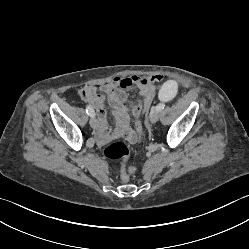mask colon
Masks as SVG:
<instances>
[{"label": "colon", "mask_w": 249, "mask_h": 249, "mask_svg": "<svg viewBox=\"0 0 249 249\" xmlns=\"http://www.w3.org/2000/svg\"><path fill=\"white\" fill-rule=\"evenodd\" d=\"M149 104L144 100H140L136 103L134 107L135 117H136V141L141 140L144 124L143 118L147 112ZM103 154L106 158L109 159H119L122 161L121 165V177L123 181L129 179L130 174L135 172V168L127 167L126 162L129 158L130 152L128 147L122 142H112L108 144L103 149Z\"/></svg>", "instance_id": "1"}]
</instances>
